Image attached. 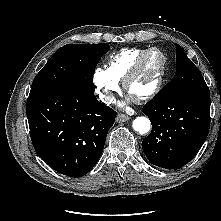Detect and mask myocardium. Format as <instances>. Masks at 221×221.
<instances>
[{
	"mask_svg": "<svg viewBox=\"0 0 221 221\" xmlns=\"http://www.w3.org/2000/svg\"><path fill=\"white\" fill-rule=\"evenodd\" d=\"M153 52H158L162 58V64L160 67V71L158 73L157 79L153 87L146 93L140 95V96H131L129 93V87L133 79L138 75L140 70L142 69L145 60L147 57L153 53ZM166 69H167V57L166 54L159 48L157 47H151L146 49L133 63L132 67L126 74L125 78L123 79V88L125 92L132 98L133 101L137 103L145 102L151 98H153L162 88L165 74H166Z\"/></svg>",
	"mask_w": 221,
	"mask_h": 221,
	"instance_id": "obj_1",
	"label": "myocardium"
}]
</instances>
